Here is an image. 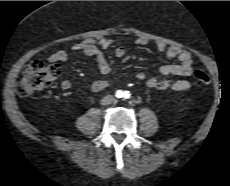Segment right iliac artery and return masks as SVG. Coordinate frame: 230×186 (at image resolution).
<instances>
[{"label":"right iliac artery","mask_w":230,"mask_h":186,"mask_svg":"<svg viewBox=\"0 0 230 186\" xmlns=\"http://www.w3.org/2000/svg\"><path fill=\"white\" fill-rule=\"evenodd\" d=\"M122 96H123V95H122V91L118 90V91L116 92V97L121 98Z\"/></svg>","instance_id":"obj_1"}]
</instances>
